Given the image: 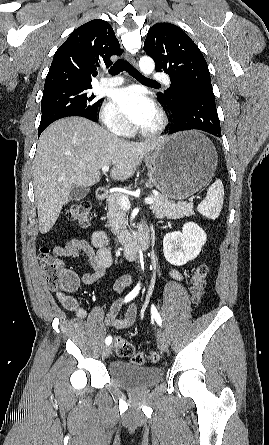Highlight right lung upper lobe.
I'll return each mask as SVG.
<instances>
[{"label": "right lung upper lobe", "mask_w": 269, "mask_h": 445, "mask_svg": "<svg viewBox=\"0 0 269 445\" xmlns=\"http://www.w3.org/2000/svg\"><path fill=\"white\" fill-rule=\"evenodd\" d=\"M122 52L108 22L101 19L87 22L74 30L55 52L44 90L89 86L99 64L111 65L110 57Z\"/></svg>", "instance_id": "obj_1"}]
</instances>
